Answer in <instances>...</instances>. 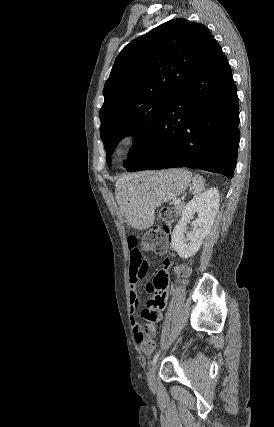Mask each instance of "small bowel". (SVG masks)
<instances>
[{
	"label": "small bowel",
	"instance_id": "c3829d8e",
	"mask_svg": "<svg viewBox=\"0 0 274 427\" xmlns=\"http://www.w3.org/2000/svg\"><path fill=\"white\" fill-rule=\"evenodd\" d=\"M127 251L130 254V307H131V323L134 331V339L137 344L141 345L144 338H151V335L157 334V329L152 328L153 320H163L165 314L163 311H141L140 318H135V313L140 308L141 297L137 292V286L145 276L148 268L149 261L143 259L137 247L134 244L127 246ZM158 255L164 257L167 251H158ZM173 262V256H167L164 267L162 269H155L154 276L146 282L147 291L149 294H154L156 298L166 299V288L168 284L174 282V277L168 275V268ZM143 310H165V301H143ZM140 327H147V333H144Z\"/></svg>",
	"mask_w": 274,
	"mask_h": 427
}]
</instances>
